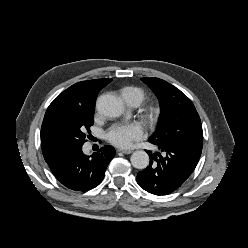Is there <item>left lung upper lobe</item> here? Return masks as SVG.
<instances>
[{"mask_svg": "<svg viewBox=\"0 0 248 248\" xmlns=\"http://www.w3.org/2000/svg\"><path fill=\"white\" fill-rule=\"evenodd\" d=\"M159 99L160 115L149 141L153 144H183L202 148L200 117L191 100L178 88L159 78H141Z\"/></svg>", "mask_w": 248, "mask_h": 248, "instance_id": "1", "label": "left lung upper lobe"}]
</instances>
